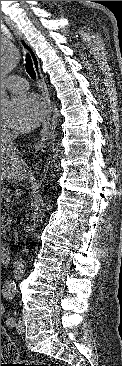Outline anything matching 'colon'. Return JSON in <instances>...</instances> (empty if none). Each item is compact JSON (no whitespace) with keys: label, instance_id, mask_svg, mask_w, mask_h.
<instances>
[{"label":"colon","instance_id":"5ec220e1","mask_svg":"<svg viewBox=\"0 0 122 366\" xmlns=\"http://www.w3.org/2000/svg\"><path fill=\"white\" fill-rule=\"evenodd\" d=\"M17 358L16 349L8 340L7 335L1 328V359L15 360ZM10 366H52L48 363H39L34 361H22L17 364H10Z\"/></svg>","mask_w":122,"mask_h":366}]
</instances>
